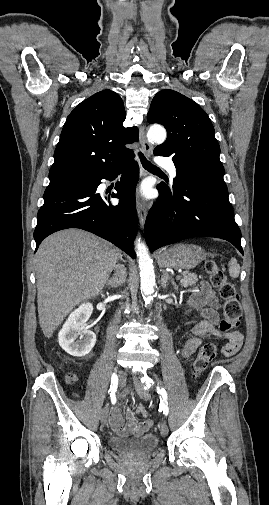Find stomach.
Segmentation results:
<instances>
[{"instance_id": "obj_1", "label": "stomach", "mask_w": 269, "mask_h": 505, "mask_svg": "<svg viewBox=\"0 0 269 505\" xmlns=\"http://www.w3.org/2000/svg\"><path fill=\"white\" fill-rule=\"evenodd\" d=\"M206 257L205 251L197 245L176 244L157 254L159 266L165 268L193 269Z\"/></svg>"}]
</instances>
